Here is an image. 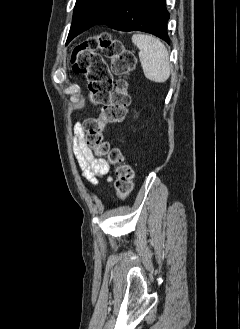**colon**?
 <instances>
[{
  "label": "colon",
  "mask_w": 240,
  "mask_h": 329,
  "mask_svg": "<svg viewBox=\"0 0 240 329\" xmlns=\"http://www.w3.org/2000/svg\"><path fill=\"white\" fill-rule=\"evenodd\" d=\"M105 58L111 60V69ZM131 50L108 33L91 36L78 44L71 55L72 69L86 76L90 100L102 105L96 118L84 121L85 143L97 156L104 157L116 170L115 191L126 198L133 188V168L124 161L122 152L112 148L104 138L105 127L121 122L130 105L128 77L135 68ZM113 75L118 78L114 80Z\"/></svg>",
  "instance_id": "5ec220e1"
}]
</instances>
